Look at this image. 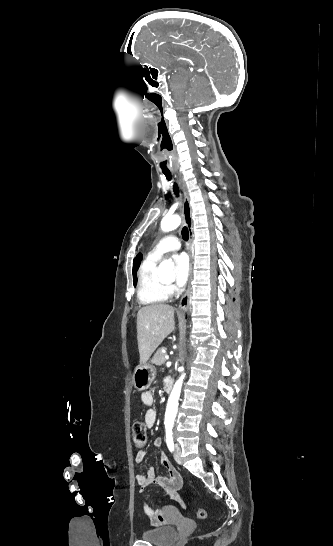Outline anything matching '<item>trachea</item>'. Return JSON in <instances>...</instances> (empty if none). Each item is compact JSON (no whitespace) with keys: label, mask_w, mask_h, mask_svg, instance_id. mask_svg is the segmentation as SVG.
<instances>
[{"label":"trachea","mask_w":333,"mask_h":546,"mask_svg":"<svg viewBox=\"0 0 333 546\" xmlns=\"http://www.w3.org/2000/svg\"><path fill=\"white\" fill-rule=\"evenodd\" d=\"M164 174H165V176H166V178H167L168 181H170V180L172 179V176H171L170 173H165V172H164ZM173 191H174V193H175L176 195L179 194V189H178V187H177V185H176L175 183H174V185H173ZM181 233H182L183 239H184L185 241H188V239H189V231H188V228H187L186 226L183 227Z\"/></svg>","instance_id":"3493384b"}]
</instances>
